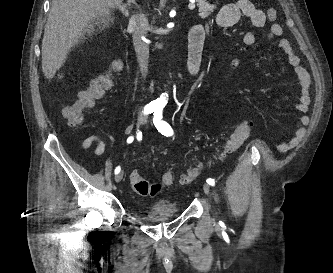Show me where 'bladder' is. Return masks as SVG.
Here are the masks:
<instances>
[{"label": "bladder", "mask_w": 333, "mask_h": 273, "mask_svg": "<svg viewBox=\"0 0 333 273\" xmlns=\"http://www.w3.org/2000/svg\"><path fill=\"white\" fill-rule=\"evenodd\" d=\"M178 209L170 202H161L146 208L144 215L137 217L152 223H164L178 215Z\"/></svg>", "instance_id": "31cf9c89"}]
</instances>
